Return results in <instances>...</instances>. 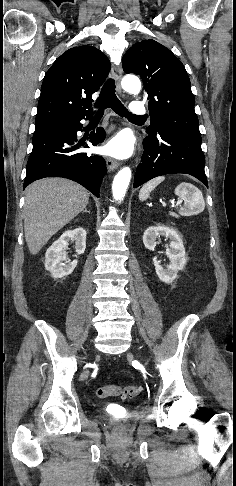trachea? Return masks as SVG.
<instances>
[{
	"instance_id": "1",
	"label": "trachea",
	"mask_w": 236,
	"mask_h": 486,
	"mask_svg": "<svg viewBox=\"0 0 236 486\" xmlns=\"http://www.w3.org/2000/svg\"><path fill=\"white\" fill-rule=\"evenodd\" d=\"M95 107L98 108L94 119H100L103 116L104 109L111 107L112 110L121 117H126L129 120H140L143 116H136L128 112L121 101L117 98L115 94V81L113 79H108L104 86L102 87L101 93Z\"/></svg>"
}]
</instances>
